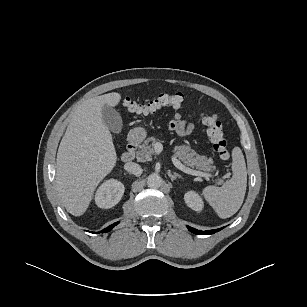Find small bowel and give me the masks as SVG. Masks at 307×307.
Here are the masks:
<instances>
[{
    "label": "small bowel",
    "instance_id": "obj_1",
    "mask_svg": "<svg viewBox=\"0 0 307 307\" xmlns=\"http://www.w3.org/2000/svg\"><path fill=\"white\" fill-rule=\"evenodd\" d=\"M169 130L175 132L179 137H185L192 133L194 124L184 118L182 113H176L168 124Z\"/></svg>",
    "mask_w": 307,
    "mask_h": 307
}]
</instances>
